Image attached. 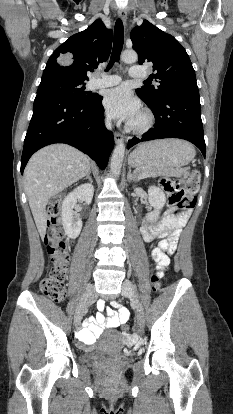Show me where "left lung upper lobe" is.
I'll list each match as a JSON object with an SVG mask.
<instances>
[{
    "label": "left lung upper lobe",
    "instance_id": "1",
    "mask_svg": "<svg viewBox=\"0 0 233 414\" xmlns=\"http://www.w3.org/2000/svg\"><path fill=\"white\" fill-rule=\"evenodd\" d=\"M139 64H153L152 78L160 85L136 89L138 96L150 107H157L166 97L198 92L195 71L183 46L171 35L149 21L133 28L130 34Z\"/></svg>",
    "mask_w": 233,
    "mask_h": 414
}]
</instances>
